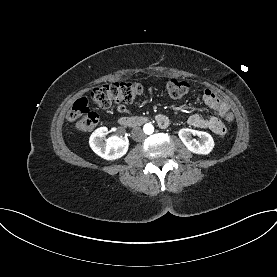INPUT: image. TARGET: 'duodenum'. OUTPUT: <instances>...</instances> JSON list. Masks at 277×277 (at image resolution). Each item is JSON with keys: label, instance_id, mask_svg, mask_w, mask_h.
<instances>
[{"label": "duodenum", "instance_id": "obj_1", "mask_svg": "<svg viewBox=\"0 0 277 277\" xmlns=\"http://www.w3.org/2000/svg\"><path fill=\"white\" fill-rule=\"evenodd\" d=\"M147 121L148 119L142 116H125L119 119V124L123 127L134 128L145 124Z\"/></svg>", "mask_w": 277, "mask_h": 277}]
</instances>
